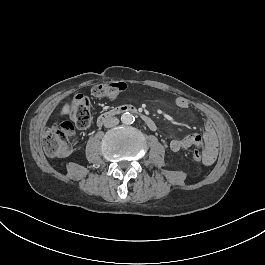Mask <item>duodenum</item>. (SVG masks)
<instances>
[{
  "label": "duodenum",
  "mask_w": 265,
  "mask_h": 265,
  "mask_svg": "<svg viewBox=\"0 0 265 265\" xmlns=\"http://www.w3.org/2000/svg\"><path fill=\"white\" fill-rule=\"evenodd\" d=\"M135 111H136V109L132 106H128V105L116 106L110 110L104 111L101 114H99L97 119H96V123L98 125H102L106 120H108L112 117H115L117 115H121V114L126 113V112H135ZM139 117L148 128H150L152 130H155L157 128L155 121L150 116H148L147 114L140 112Z\"/></svg>",
  "instance_id": "obj_1"
}]
</instances>
